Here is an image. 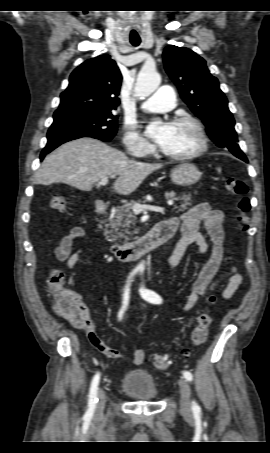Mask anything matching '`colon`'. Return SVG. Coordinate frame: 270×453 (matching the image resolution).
Returning a JSON list of instances; mask_svg holds the SVG:
<instances>
[{
    "instance_id": "colon-1",
    "label": "colon",
    "mask_w": 270,
    "mask_h": 453,
    "mask_svg": "<svg viewBox=\"0 0 270 453\" xmlns=\"http://www.w3.org/2000/svg\"><path fill=\"white\" fill-rule=\"evenodd\" d=\"M226 189L234 196L237 201V231L244 233L249 227V212L251 208L250 199L247 197V184L239 178H228L225 183ZM50 206L54 210L64 212L67 209V200L59 195H54L50 200ZM65 274L59 268L49 270L46 278V285L52 295V306L56 313L66 317H76L79 314V300L75 294L67 291L64 287ZM219 302L218 294H212L209 298V306L198 316L197 325L191 334V343L199 346L207 340L209 327L212 322L211 307ZM153 365L160 370L169 367L168 358L164 355L156 354L153 357Z\"/></svg>"
}]
</instances>
